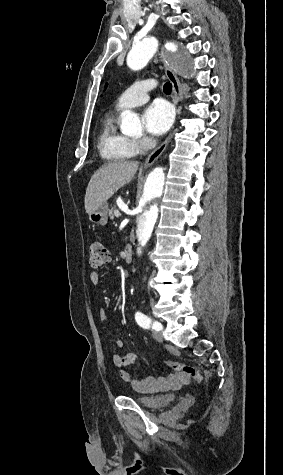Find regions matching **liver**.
<instances>
[{
  "label": "liver",
  "mask_w": 283,
  "mask_h": 475,
  "mask_svg": "<svg viewBox=\"0 0 283 475\" xmlns=\"http://www.w3.org/2000/svg\"><path fill=\"white\" fill-rule=\"evenodd\" d=\"M139 168V162H108L93 174L85 194L87 214L98 210L102 204L125 184H129Z\"/></svg>",
  "instance_id": "1"
}]
</instances>
